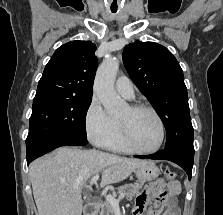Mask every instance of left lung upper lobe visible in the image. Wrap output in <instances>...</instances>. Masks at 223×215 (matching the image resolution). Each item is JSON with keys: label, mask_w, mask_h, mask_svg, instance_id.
I'll return each mask as SVG.
<instances>
[{"label": "left lung upper lobe", "mask_w": 223, "mask_h": 215, "mask_svg": "<svg viewBox=\"0 0 223 215\" xmlns=\"http://www.w3.org/2000/svg\"><path fill=\"white\" fill-rule=\"evenodd\" d=\"M123 62L166 128L165 148H193L187 88L173 54L158 43L136 41L124 48Z\"/></svg>", "instance_id": "1"}]
</instances>
